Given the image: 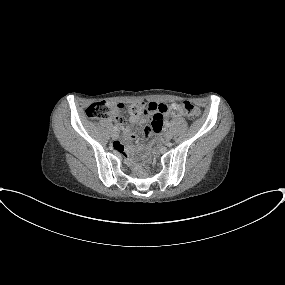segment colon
Returning a JSON list of instances; mask_svg holds the SVG:
<instances>
[{"label": "colon", "instance_id": "5ec220e1", "mask_svg": "<svg viewBox=\"0 0 285 285\" xmlns=\"http://www.w3.org/2000/svg\"><path fill=\"white\" fill-rule=\"evenodd\" d=\"M146 114L147 108L141 103L126 107L121 103L114 104L109 102H95L90 104L86 109V115L91 119H112L119 124H125L128 118L143 116ZM180 114L195 117L198 114V110L189 101L173 103L166 106L163 117H174ZM145 170L146 169L144 167L137 168L139 175H143Z\"/></svg>", "mask_w": 285, "mask_h": 285}]
</instances>
